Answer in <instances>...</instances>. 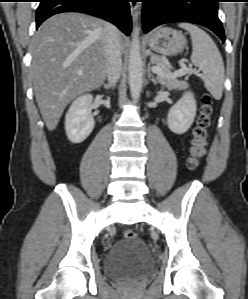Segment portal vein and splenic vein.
<instances>
[{
	"mask_svg": "<svg viewBox=\"0 0 248 299\" xmlns=\"http://www.w3.org/2000/svg\"><path fill=\"white\" fill-rule=\"evenodd\" d=\"M152 71L154 73H157V74H160V75H164V73H163V71H162V69L160 67L154 66V67H152ZM193 71H194L193 69L186 67V65H182L181 69H179L178 71H175V72L171 73L170 77H173V78H175V77H181V76H184V75H186L188 73H192Z\"/></svg>",
	"mask_w": 248,
	"mask_h": 299,
	"instance_id": "obj_1",
	"label": "portal vein and splenic vein"
}]
</instances>
